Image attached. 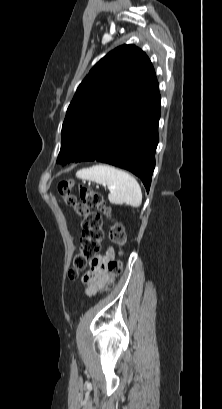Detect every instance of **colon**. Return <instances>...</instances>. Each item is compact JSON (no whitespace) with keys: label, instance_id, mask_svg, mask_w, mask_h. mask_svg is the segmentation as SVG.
Returning <instances> with one entry per match:
<instances>
[{"label":"colon","instance_id":"5ec220e1","mask_svg":"<svg viewBox=\"0 0 222 409\" xmlns=\"http://www.w3.org/2000/svg\"><path fill=\"white\" fill-rule=\"evenodd\" d=\"M74 180L64 179L58 183L57 190L64 203L71 207L78 215L83 217L82 235L79 251L74 255L72 266L69 270L71 279L77 278L80 271L84 270L89 262L90 256H98L103 240V220L110 219L109 236L111 241L119 246L120 255H124L126 245V233L124 227L114 221L111 217L109 208L105 205L102 195L85 185L79 188L80 200L73 194ZM108 270L110 279L104 286V291H109L114 287L115 278L123 270L122 259H112Z\"/></svg>","mask_w":222,"mask_h":409}]
</instances>
